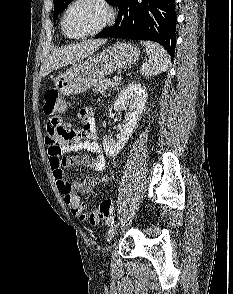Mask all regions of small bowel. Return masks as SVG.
Masks as SVG:
<instances>
[{"instance_id": "1", "label": "small bowel", "mask_w": 233, "mask_h": 294, "mask_svg": "<svg viewBox=\"0 0 233 294\" xmlns=\"http://www.w3.org/2000/svg\"><path fill=\"white\" fill-rule=\"evenodd\" d=\"M74 108L54 110L48 117V129L45 142L48 147L49 163L58 190L66 195L85 194L94 189L99 183L109 180L108 175L88 176L82 180L70 181L66 178L65 170L70 166H84L90 170L102 173L106 168V160L97 141V129L93 110L86 107L78 113L81 125L76 129L75 123H69L67 118H75ZM86 151L94 154L65 156L70 152Z\"/></svg>"}]
</instances>
